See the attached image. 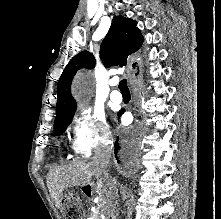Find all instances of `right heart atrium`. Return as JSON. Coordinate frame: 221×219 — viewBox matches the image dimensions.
Returning a JSON list of instances; mask_svg holds the SVG:
<instances>
[{
    "mask_svg": "<svg viewBox=\"0 0 221 219\" xmlns=\"http://www.w3.org/2000/svg\"><path fill=\"white\" fill-rule=\"evenodd\" d=\"M111 139V132L102 112L81 107L74 117L72 142L75 150L83 156L105 146Z\"/></svg>",
    "mask_w": 221,
    "mask_h": 219,
    "instance_id": "d8ad5b80",
    "label": "right heart atrium"
}]
</instances>
